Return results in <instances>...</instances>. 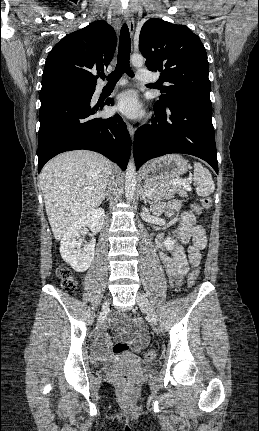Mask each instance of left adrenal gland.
<instances>
[{
  "label": "left adrenal gland",
  "mask_w": 259,
  "mask_h": 431,
  "mask_svg": "<svg viewBox=\"0 0 259 431\" xmlns=\"http://www.w3.org/2000/svg\"><path fill=\"white\" fill-rule=\"evenodd\" d=\"M141 200H143L145 204L151 203V201L146 198L143 190H141Z\"/></svg>",
  "instance_id": "obj_1"
}]
</instances>
